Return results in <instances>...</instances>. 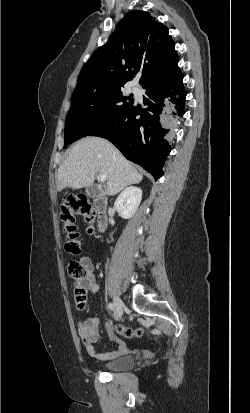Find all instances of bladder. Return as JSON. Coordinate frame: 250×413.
<instances>
[{
	"instance_id": "bladder-1",
	"label": "bladder",
	"mask_w": 250,
	"mask_h": 413,
	"mask_svg": "<svg viewBox=\"0 0 250 413\" xmlns=\"http://www.w3.org/2000/svg\"><path fill=\"white\" fill-rule=\"evenodd\" d=\"M135 364V359L130 355L119 356L115 359L107 361L103 368L110 372L123 371L131 369Z\"/></svg>"
}]
</instances>
